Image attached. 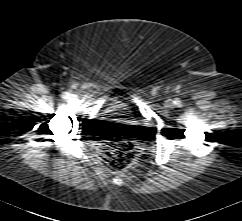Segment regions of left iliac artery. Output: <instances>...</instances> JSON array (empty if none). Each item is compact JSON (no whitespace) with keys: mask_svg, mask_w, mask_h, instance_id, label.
<instances>
[{"mask_svg":"<svg viewBox=\"0 0 242 221\" xmlns=\"http://www.w3.org/2000/svg\"><path fill=\"white\" fill-rule=\"evenodd\" d=\"M176 104L180 103L179 101H175Z\"/></svg>","mask_w":242,"mask_h":221,"instance_id":"44dca946","label":"left iliac artery"}]
</instances>
